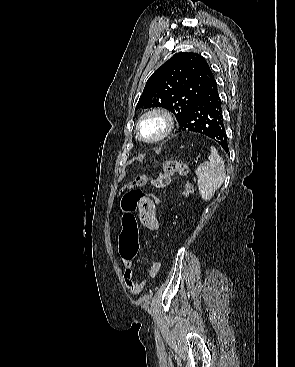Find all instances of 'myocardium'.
Returning <instances> with one entry per match:
<instances>
[{
	"instance_id": "myocardium-1",
	"label": "myocardium",
	"mask_w": 295,
	"mask_h": 367,
	"mask_svg": "<svg viewBox=\"0 0 295 367\" xmlns=\"http://www.w3.org/2000/svg\"><path fill=\"white\" fill-rule=\"evenodd\" d=\"M152 118H158L163 123L161 132L152 138L144 137L141 133V125ZM175 119L170 111L164 108L156 107L145 111L137 120L135 131L137 137L148 144H155L166 139L174 130Z\"/></svg>"
}]
</instances>
